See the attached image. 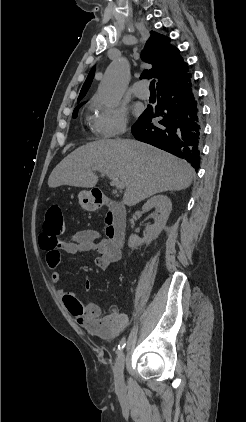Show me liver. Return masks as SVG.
Returning a JSON list of instances; mask_svg holds the SVG:
<instances>
[{
	"mask_svg": "<svg viewBox=\"0 0 246 422\" xmlns=\"http://www.w3.org/2000/svg\"><path fill=\"white\" fill-rule=\"evenodd\" d=\"M107 170L120 179L126 191L123 203L133 206L165 191L188 188L194 169L184 160L135 140H100L79 147L52 171L48 185L93 188L96 171Z\"/></svg>",
	"mask_w": 246,
	"mask_h": 422,
	"instance_id": "1",
	"label": "liver"
}]
</instances>
